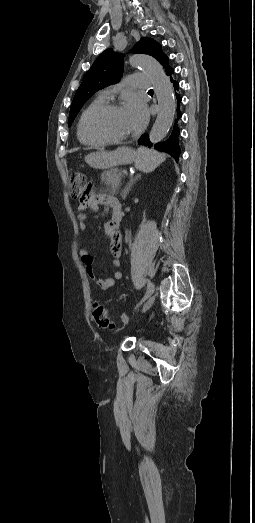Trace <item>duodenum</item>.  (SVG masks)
<instances>
[{
    "label": "duodenum",
    "mask_w": 255,
    "mask_h": 523,
    "mask_svg": "<svg viewBox=\"0 0 255 523\" xmlns=\"http://www.w3.org/2000/svg\"><path fill=\"white\" fill-rule=\"evenodd\" d=\"M107 204L112 209V222L118 224L122 219V205L116 198L108 197Z\"/></svg>",
    "instance_id": "410a0bca"
}]
</instances>
